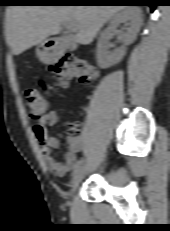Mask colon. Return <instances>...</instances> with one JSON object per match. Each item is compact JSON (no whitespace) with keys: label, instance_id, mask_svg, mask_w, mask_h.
Returning a JSON list of instances; mask_svg holds the SVG:
<instances>
[{"label":"colon","instance_id":"5ec220e1","mask_svg":"<svg viewBox=\"0 0 170 231\" xmlns=\"http://www.w3.org/2000/svg\"><path fill=\"white\" fill-rule=\"evenodd\" d=\"M51 72L64 84L72 78H77L85 85H91L100 78L99 70L87 59L66 55L61 57L50 67ZM29 113L33 118H39L48 112V105L43 94L36 89H27L25 91ZM68 140L73 142L80 137V130L71 127L68 130Z\"/></svg>","mask_w":170,"mask_h":231}]
</instances>
